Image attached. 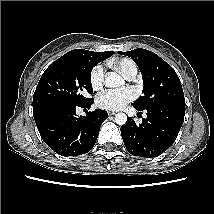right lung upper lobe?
Returning a JSON list of instances; mask_svg holds the SVG:
<instances>
[{
  "instance_id": "obj_1",
  "label": "right lung upper lobe",
  "mask_w": 214,
  "mask_h": 214,
  "mask_svg": "<svg viewBox=\"0 0 214 214\" xmlns=\"http://www.w3.org/2000/svg\"><path fill=\"white\" fill-rule=\"evenodd\" d=\"M66 54H68V55H73V54L85 55V56H88V57L92 58L97 63H99V62L103 61L104 59L112 56L114 54V52L113 51L92 52V51L83 50V49H75V50L69 51Z\"/></svg>"
}]
</instances>
